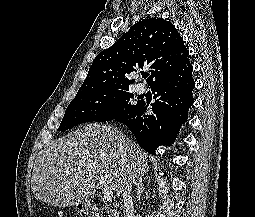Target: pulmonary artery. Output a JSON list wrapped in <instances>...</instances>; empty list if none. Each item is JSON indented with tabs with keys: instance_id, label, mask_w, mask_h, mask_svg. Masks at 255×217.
I'll list each match as a JSON object with an SVG mask.
<instances>
[{
	"instance_id": "1",
	"label": "pulmonary artery",
	"mask_w": 255,
	"mask_h": 217,
	"mask_svg": "<svg viewBox=\"0 0 255 217\" xmlns=\"http://www.w3.org/2000/svg\"><path fill=\"white\" fill-rule=\"evenodd\" d=\"M144 90H145L144 87L141 86V85H138L137 88H136V91H137L138 93H143Z\"/></svg>"
}]
</instances>
